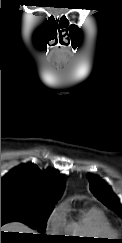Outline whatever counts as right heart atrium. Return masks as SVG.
I'll return each mask as SVG.
<instances>
[{
    "mask_svg": "<svg viewBox=\"0 0 122 243\" xmlns=\"http://www.w3.org/2000/svg\"><path fill=\"white\" fill-rule=\"evenodd\" d=\"M66 226L65 213L61 206L56 207L50 214L47 227L53 233H59L64 230Z\"/></svg>",
    "mask_w": 122,
    "mask_h": 243,
    "instance_id": "1",
    "label": "right heart atrium"
}]
</instances>
